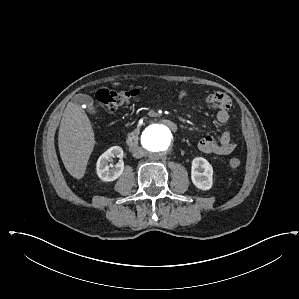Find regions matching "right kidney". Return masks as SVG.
Instances as JSON below:
<instances>
[{
	"label": "right kidney",
	"instance_id": "1",
	"mask_svg": "<svg viewBox=\"0 0 299 299\" xmlns=\"http://www.w3.org/2000/svg\"><path fill=\"white\" fill-rule=\"evenodd\" d=\"M123 157V149L119 146H113L104 152L98 159L96 164V171L98 177L105 182L116 180L121 176L124 170V162L120 160L114 167L110 166L108 162L111 158Z\"/></svg>",
	"mask_w": 299,
	"mask_h": 299
}]
</instances>
